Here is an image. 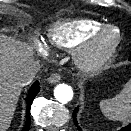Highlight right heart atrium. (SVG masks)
Returning a JSON list of instances; mask_svg holds the SVG:
<instances>
[{"mask_svg": "<svg viewBox=\"0 0 131 131\" xmlns=\"http://www.w3.org/2000/svg\"><path fill=\"white\" fill-rule=\"evenodd\" d=\"M37 47H38V50L40 52H44L45 51L44 47L41 44H38Z\"/></svg>", "mask_w": 131, "mask_h": 131, "instance_id": "obj_1", "label": "right heart atrium"}]
</instances>
